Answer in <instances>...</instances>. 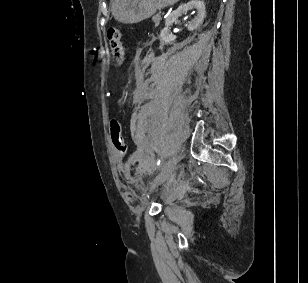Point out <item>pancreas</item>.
Returning <instances> with one entry per match:
<instances>
[{
    "mask_svg": "<svg viewBox=\"0 0 308 283\" xmlns=\"http://www.w3.org/2000/svg\"><path fill=\"white\" fill-rule=\"evenodd\" d=\"M152 20H153V22L155 23V25L158 26L159 23H160V20H161V15H160V13L156 14L155 16H153Z\"/></svg>",
    "mask_w": 308,
    "mask_h": 283,
    "instance_id": "1",
    "label": "pancreas"
}]
</instances>
